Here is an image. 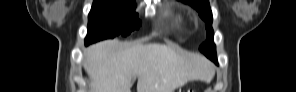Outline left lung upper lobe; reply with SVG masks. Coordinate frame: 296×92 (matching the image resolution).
<instances>
[{
	"label": "left lung upper lobe",
	"instance_id": "1",
	"mask_svg": "<svg viewBox=\"0 0 296 92\" xmlns=\"http://www.w3.org/2000/svg\"><path fill=\"white\" fill-rule=\"evenodd\" d=\"M195 8L199 16L205 21V27L207 30L206 42L200 46V51L204 53L208 58L217 61L215 44L213 43L214 32L212 29V12L209 5V0H180Z\"/></svg>",
	"mask_w": 296,
	"mask_h": 92
}]
</instances>
